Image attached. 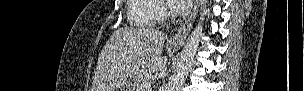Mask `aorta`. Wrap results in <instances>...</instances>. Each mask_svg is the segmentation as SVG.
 Instances as JSON below:
<instances>
[{
    "label": "aorta",
    "instance_id": "762f6f07",
    "mask_svg": "<svg viewBox=\"0 0 304 91\" xmlns=\"http://www.w3.org/2000/svg\"><path fill=\"white\" fill-rule=\"evenodd\" d=\"M207 2H208L207 0H200L201 12H200L199 22L195 27V29L190 34V36L188 37L186 44L184 45V48L182 50L177 66L174 70V73L167 84V88H166L167 91H179L180 87L182 86L184 80L186 79L192 68L194 58L203 32V22H204V16L207 12L206 9Z\"/></svg>",
    "mask_w": 304,
    "mask_h": 91
}]
</instances>
